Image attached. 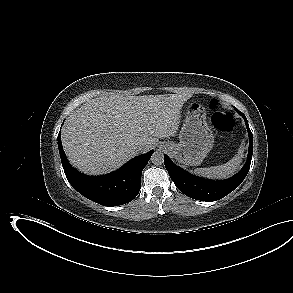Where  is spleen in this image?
<instances>
[{
  "instance_id": "3e777b00",
  "label": "spleen",
  "mask_w": 293,
  "mask_h": 293,
  "mask_svg": "<svg viewBox=\"0 0 293 293\" xmlns=\"http://www.w3.org/2000/svg\"><path fill=\"white\" fill-rule=\"evenodd\" d=\"M244 146L243 143L238 149V153L230 159L227 163L212 166L208 168H197L194 173L197 175L205 176L211 179H225L232 176L240 167L242 158L244 156Z\"/></svg>"
}]
</instances>
